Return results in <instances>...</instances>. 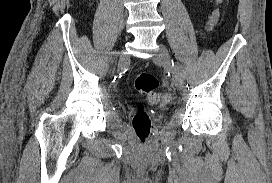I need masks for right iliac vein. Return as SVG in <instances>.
Returning <instances> with one entry per match:
<instances>
[{"label": "right iliac vein", "instance_id": "1", "mask_svg": "<svg viewBox=\"0 0 272 183\" xmlns=\"http://www.w3.org/2000/svg\"><path fill=\"white\" fill-rule=\"evenodd\" d=\"M127 59H128V57L124 53H122L120 55V58H119V61H118V66L119 67L124 66V64L126 63Z\"/></svg>", "mask_w": 272, "mask_h": 183}]
</instances>
